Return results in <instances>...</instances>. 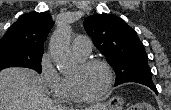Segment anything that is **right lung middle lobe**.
I'll return each mask as SVG.
<instances>
[{
    "mask_svg": "<svg viewBox=\"0 0 171 110\" xmlns=\"http://www.w3.org/2000/svg\"><path fill=\"white\" fill-rule=\"evenodd\" d=\"M43 52H33L13 44H0V71L8 67H27L41 73Z\"/></svg>",
    "mask_w": 171,
    "mask_h": 110,
    "instance_id": "dd1d6c3e",
    "label": "right lung middle lobe"
}]
</instances>
